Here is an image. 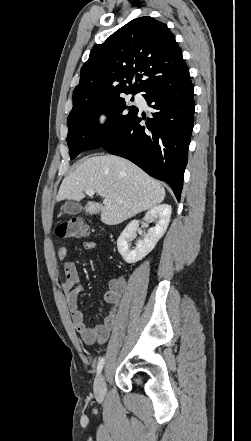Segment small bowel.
I'll list each match as a JSON object with an SVG mask.
<instances>
[{
    "label": "small bowel",
    "mask_w": 251,
    "mask_h": 441,
    "mask_svg": "<svg viewBox=\"0 0 251 441\" xmlns=\"http://www.w3.org/2000/svg\"><path fill=\"white\" fill-rule=\"evenodd\" d=\"M83 248L86 251H93L96 248V244L93 241H85L83 242ZM57 254L60 260H66L68 257V248L65 245H61L58 248ZM64 274L65 280L62 284V290L76 332L85 344L105 343L116 325L117 309L125 288L124 279L114 278L108 282L107 289L103 296L104 302L108 306L107 313L101 323L93 327H88L85 323L83 313L78 308V299L83 288L75 263L65 261Z\"/></svg>",
    "instance_id": "c3829d8e"
}]
</instances>
